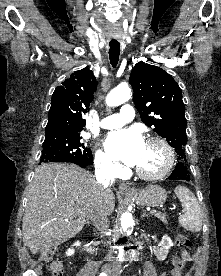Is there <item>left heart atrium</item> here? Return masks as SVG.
Segmentation results:
<instances>
[{
	"label": "left heart atrium",
	"instance_id": "39dd6f15",
	"mask_svg": "<svg viewBox=\"0 0 221 276\" xmlns=\"http://www.w3.org/2000/svg\"><path fill=\"white\" fill-rule=\"evenodd\" d=\"M105 147L111 157L129 166H137L145 149V142L135 129L113 132L105 140Z\"/></svg>",
	"mask_w": 221,
	"mask_h": 276
}]
</instances>
